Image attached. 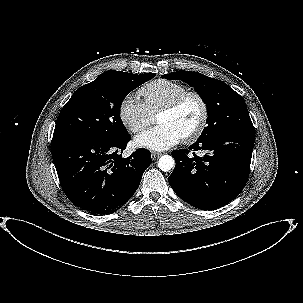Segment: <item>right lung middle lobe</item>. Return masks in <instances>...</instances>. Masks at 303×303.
<instances>
[{"label":"right lung middle lobe","instance_id":"right-lung-middle-lobe-1","mask_svg":"<svg viewBox=\"0 0 303 303\" xmlns=\"http://www.w3.org/2000/svg\"><path fill=\"white\" fill-rule=\"evenodd\" d=\"M155 74L107 71L81 86L61 109L53 139L85 137L99 140L120 139L128 132L120 118L125 97Z\"/></svg>","mask_w":303,"mask_h":303}]
</instances>
